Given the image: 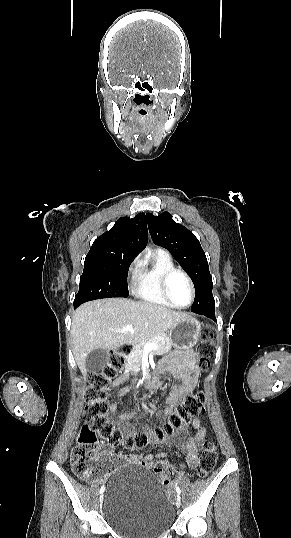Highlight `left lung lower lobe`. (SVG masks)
Returning <instances> with one entry per match:
<instances>
[{
	"label": "left lung lower lobe",
	"instance_id": "obj_1",
	"mask_svg": "<svg viewBox=\"0 0 291 538\" xmlns=\"http://www.w3.org/2000/svg\"><path fill=\"white\" fill-rule=\"evenodd\" d=\"M191 311L194 312V313H197V314H201V315H205L207 317H210L213 320H216V318H215V304L210 305L208 307H204V308H197V309L192 308Z\"/></svg>",
	"mask_w": 291,
	"mask_h": 538
}]
</instances>
